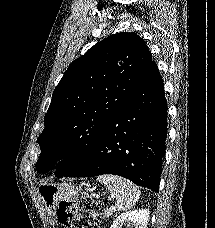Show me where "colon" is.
I'll use <instances>...</instances> for the list:
<instances>
[{
    "instance_id": "colon-1",
    "label": "colon",
    "mask_w": 215,
    "mask_h": 228,
    "mask_svg": "<svg viewBox=\"0 0 215 228\" xmlns=\"http://www.w3.org/2000/svg\"><path fill=\"white\" fill-rule=\"evenodd\" d=\"M102 212L103 204L96 197L84 195L79 198L77 205L61 201L57 206L56 216L66 228H97L84 214L96 217Z\"/></svg>"
}]
</instances>
